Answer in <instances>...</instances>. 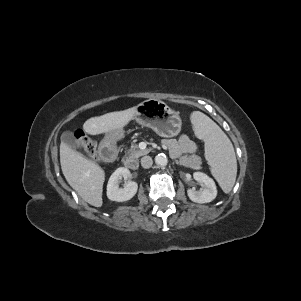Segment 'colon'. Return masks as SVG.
I'll return each instance as SVG.
<instances>
[{
  "label": "colon",
  "instance_id": "colon-1",
  "mask_svg": "<svg viewBox=\"0 0 301 301\" xmlns=\"http://www.w3.org/2000/svg\"><path fill=\"white\" fill-rule=\"evenodd\" d=\"M76 138L79 145L85 150V152L90 156L95 158L97 156V146L96 143L88 137L83 131H76Z\"/></svg>",
  "mask_w": 301,
  "mask_h": 301
}]
</instances>
